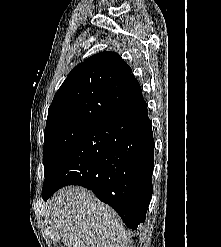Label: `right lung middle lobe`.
I'll return each mask as SVG.
<instances>
[{"label":"right lung middle lobe","instance_id":"obj_1","mask_svg":"<svg viewBox=\"0 0 221 247\" xmlns=\"http://www.w3.org/2000/svg\"><path fill=\"white\" fill-rule=\"evenodd\" d=\"M90 128L91 126L88 125L69 124L45 130L43 148L44 182L64 152Z\"/></svg>","mask_w":221,"mask_h":247}]
</instances>
